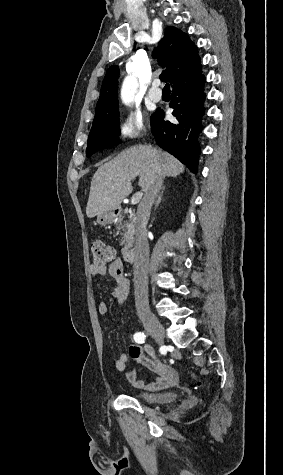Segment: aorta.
Segmentation results:
<instances>
[{
    "mask_svg": "<svg viewBox=\"0 0 283 475\" xmlns=\"http://www.w3.org/2000/svg\"><path fill=\"white\" fill-rule=\"evenodd\" d=\"M137 90V80L133 76H127L122 84L121 98L124 104L132 103Z\"/></svg>",
    "mask_w": 283,
    "mask_h": 475,
    "instance_id": "obj_1",
    "label": "aorta"
}]
</instances>
